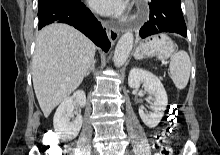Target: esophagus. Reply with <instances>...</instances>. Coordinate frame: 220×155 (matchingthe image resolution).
I'll return each mask as SVG.
<instances>
[{
  "label": "esophagus",
  "mask_w": 220,
  "mask_h": 155,
  "mask_svg": "<svg viewBox=\"0 0 220 155\" xmlns=\"http://www.w3.org/2000/svg\"><path fill=\"white\" fill-rule=\"evenodd\" d=\"M119 34H120L119 30L114 29V28H109L108 36H109L110 41H111L112 44H114L117 41V39L119 37Z\"/></svg>",
  "instance_id": "1"
}]
</instances>
